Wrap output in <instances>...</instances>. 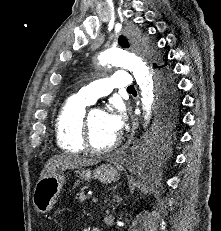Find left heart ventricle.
Instances as JSON below:
<instances>
[{
  "label": "left heart ventricle",
  "instance_id": "1",
  "mask_svg": "<svg viewBox=\"0 0 221 231\" xmlns=\"http://www.w3.org/2000/svg\"><path fill=\"white\" fill-rule=\"evenodd\" d=\"M90 127L92 142L99 148L107 147L118 136L108 128L105 113L100 110H93L91 112Z\"/></svg>",
  "mask_w": 221,
  "mask_h": 231
}]
</instances>
